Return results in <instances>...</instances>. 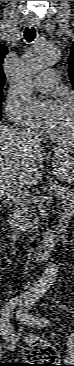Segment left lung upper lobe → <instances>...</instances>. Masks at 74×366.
I'll list each match as a JSON object with an SVG mask.
<instances>
[{
  "label": "left lung upper lobe",
  "instance_id": "1",
  "mask_svg": "<svg viewBox=\"0 0 74 366\" xmlns=\"http://www.w3.org/2000/svg\"><path fill=\"white\" fill-rule=\"evenodd\" d=\"M69 76L74 87V45L71 46V55L69 58Z\"/></svg>",
  "mask_w": 74,
  "mask_h": 366
}]
</instances>
